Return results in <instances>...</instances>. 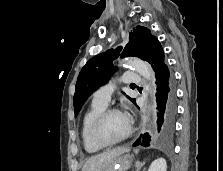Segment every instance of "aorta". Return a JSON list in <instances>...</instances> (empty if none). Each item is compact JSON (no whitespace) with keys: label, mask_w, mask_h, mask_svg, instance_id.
Masks as SVG:
<instances>
[{"label":"aorta","mask_w":223,"mask_h":171,"mask_svg":"<svg viewBox=\"0 0 223 171\" xmlns=\"http://www.w3.org/2000/svg\"><path fill=\"white\" fill-rule=\"evenodd\" d=\"M123 64L132 67L137 73L149 81L151 85H154L155 73L150 64L138 58L126 59Z\"/></svg>","instance_id":"obj_1"}]
</instances>
